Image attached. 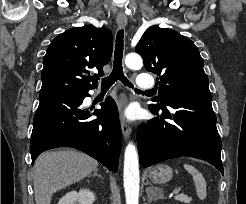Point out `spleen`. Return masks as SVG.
Segmentation results:
<instances>
[{
    "label": "spleen",
    "mask_w": 246,
    "mask_h": 204,
    "mask_svg": "<svg viewBox=\"0 0 246 204\" xmlns=\"http://www.w3.org/2000/svg\"><path fill=\"white\" fill-rule=\"evenodd\" d=\"M184 168L192 175L198 197L203 200L206 198V181L201 172L190 164H184Z\"/></svg>",
    "instance_id": "spleen-1"
}]
</instances>
